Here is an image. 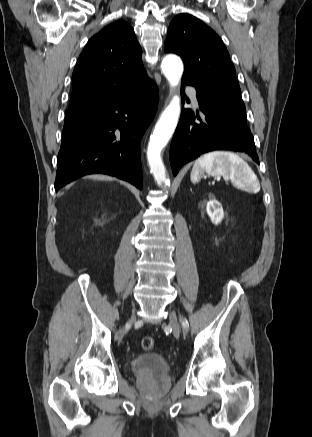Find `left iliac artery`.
Listing matches in <instances>:
<instances>
[{"instance_id":"left-iliac-artery-1","label":"left iliac artery","mask_w":312,"mask_h":437,"mask_svg":"<svg viewBox=\"0 0 312 437\" xmlns=\"http://www.w3.org/2000/svg\"><path fill=\"white\" fill-rule=\"evenodd\" d=\"M182 326L184 327V328H187V326H188V321L185 319V320H182Z\"/></svg>"}]
</instances>
